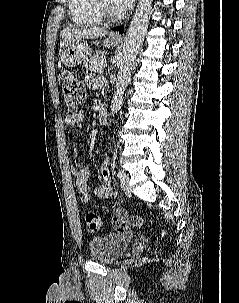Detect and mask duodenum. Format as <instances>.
Returning <instances> with one entry per match:
<instances>
[{
    "instance_id": "duodenum-1",
    "label": "duodenum",
    "mask_w": 239,
    "mask_h": 303,
    "mask_svg": "<svg viewBox=\"0 0 239 303\" xmlns=\"http://www.w3.org/2000/svg\"><path fill=\"white\" fill-rule=\"evenodd\" d=\"M98 119L101 124H106L108 122V114L105 108H100L98 110Z\"/></svg>"
}]
</instances>
